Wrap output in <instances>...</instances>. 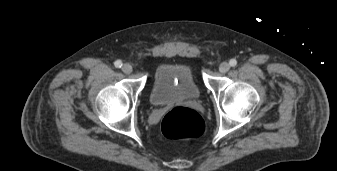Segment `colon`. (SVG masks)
Returning <instances> with one entry per match:
<instances>
[{
  "label": "colon",
  "mask_w": 337,
  "mask_h": 171,
  "mask_svg": "<svg viewBox=\"0 0 337 171\" xmlns=\"http://www.w3.org/2000/svg\"><path fill=\"white\" fill-rule=\"evenodd\" d=\"M161 130L169 139L195 138L203 134L204 121L196 111L186 107H177L164 116Z\"/></svg>",
  "instance_id": "colon-1"
}]
</instances>
